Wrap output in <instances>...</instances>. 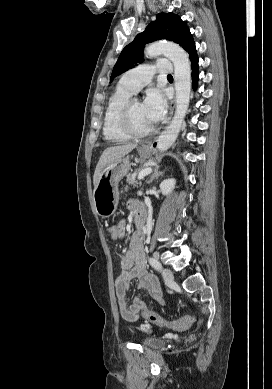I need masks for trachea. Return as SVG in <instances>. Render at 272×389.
Listing matches in <instances>:
<instances>
[{"mask_svg":"<svg viewBox=\"0 0 272 389\" xmlns=\"http://www.w3.org/2000/svg\"><path fill=\"white\" fill-rule=\"evenodd\" d=\"M167 77H170V78H172V75H168Z\"/></svg>","mask_w":272,"mask_h":389,"instance_id":"trachea-1","label":"trachea"}]
</instances>
